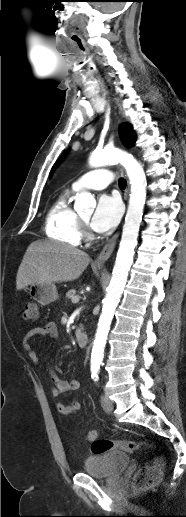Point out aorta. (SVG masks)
<instances>
[{
    "label": "aorta",
    "mask_w": 186,
    "mask_h": 517,
    "mask_svg": "<svg viewBox=\"0 0 186 517\" xmlns=\"http://www.w3.org/2000/svg\"><path fill=\"white\" fill-rule=\"evenodd\" d=\"M110 163H120L126 169L131 185L129 205L123 226L120 246L117 252L112 277L103 299L102 313L99 318L91 353V370H98L104 356L111 321L123 293L128 273L133 262L138 232L146 199V177L141 164L129 153L106 148L92 152L89 157L91 167H101ZM95 203L88 192H81L75 198V209H87Z\"/></svg>",
    "instance_id": "aorta-1"
}]
</instances>
